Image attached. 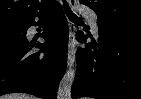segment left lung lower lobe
<instances>
[{"label": "left lung lower lobe", "mask_w": 141, "mask_h": 99, "mask_svg": "<svg viewBox=\"0 0 141 99\" xmlns=\"http://www.w3.org/2000/svg\"><path fill=\"white\" fill-rule=\"evenodd\" d=\"M97 25L98 44L77 51L72 97L141 99V28ZM86 39L79 31L77 40Z\"/></svg>", "instance_id": "0a47b994"}]
</instances>
